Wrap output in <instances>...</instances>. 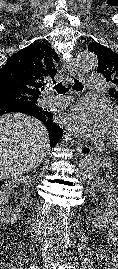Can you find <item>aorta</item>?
<instances>
[{"mask_svg":"<svg viewBox=\"0 0 118 269\" xmlns=\"http://www.w3.org/2000/svg\"><path fill=\"white\" fill-rule=\"evenodd\" d=\"M77 62L81 70H92L97 66L98 59L92 52H83L78 56ZM98 168V159L94 156H89L79 163L76 176L81 179L93 177Z\"/></svg>","mask_w":118,"mask_h":269,"instance_id":"1","label":"aorta"}]
</instances>
